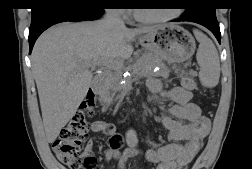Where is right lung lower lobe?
<instances>
[{"label":"right lung lower lobe","mask_w":252,"mask_h":169,"mask_svg":"<svg viewBox=\"0 0 252 169\" xmlns=\"http://www.w3.org/2000/svg\"><path fill=\"white\" fill-rule=\"evenodd\" d=\"M36 5L31 12L29 29L30 53L39 35L52 25L71 21L96 20L104 14L100 5L88 4L82 0H44Z\"/></svg>","instance_id":"1"}]
</instances>
